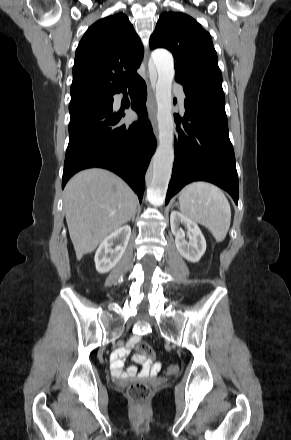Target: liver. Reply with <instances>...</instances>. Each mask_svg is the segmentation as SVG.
Segmentation results:
<instances>
[{
	"mask_svg": "<svg viewBox=\"0 0 291 440\" xmlns=\"http://www.w3.org/2000/svg\"><path fill=\"white\" fill-rule=\"evenodd\" d=\"M136 209L135 193L110 171L92 168L74 175L64 189V210L77 260L130 221Z\"/></svg>",
	"mask_w": 291,
	"mask_h": 440,
	"instance_id": "1",
	"label": "liver"
}]
</instances>
